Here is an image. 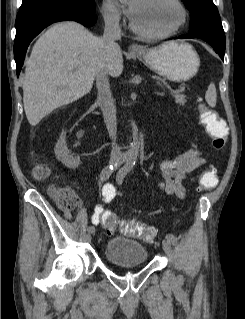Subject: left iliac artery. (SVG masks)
Returning <instances> with one entry per match:
<instances>
[{
	"mask_svg": "<svg viewBox=\"0 0 245 319\" xmlns=\"http://www.w3.org/2000/svg\"><path fill=\"white\" fill-rule=\"evenodd\" d=\"M134 165H135V160L130 158L127 161V163L119 170L117 174V179L120 183L123 182L125 176L132 170ZM166 239L169 241V243L173 245L177 243V238L173 234H167Z\"/></svg>",
	"mask_w": 245,
	"mask_h": 319,
	"instance_id": "1",
	"label": "left iliac artery"
}]
</instances>
